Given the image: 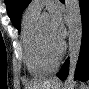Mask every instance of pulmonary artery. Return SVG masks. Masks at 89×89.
Instances as JSON below:
<instances>
[{
  "label": "pulmonary artery",
  "instance_id": "1",
  "mask_svg": "<svg viewBox=\"0 0 89 89\" xmlns=\"http://www.w3.org/2000/svg\"><path fill=\"white\" fill-rule=\"evenodd\" d=\"M50 3H51L50 0H34L28 6L26 12L34 14V15H39L42 8L45 5L50 4Z\"/></svg>",
  "mask_w": 89,
  "mask_h": 89
}]
</instances>
